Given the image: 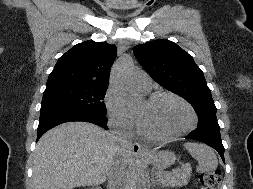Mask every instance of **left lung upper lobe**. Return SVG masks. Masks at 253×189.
<instances>
[{
	"label": "left lung upper lobe",
	"mask_w": 253,
	"mask_h": 189,
	"mask_svg": "<svg viewBox=\"0 0 253 189\" xmlns=\"http://www.w3.org/2000/svg\"><path fill=\"white\" fill-rule=\"evenodd\" d=\"M133 52L158 84L184 97L193 106L199 117L198 127H219L211 91L191 55L168 40L137 45Z\"/></svg>",
	"instance_id": "5c2ea615"
}]
</instances>
